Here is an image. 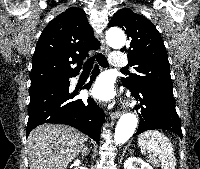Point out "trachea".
<instances>
[{
	"label": "trachea",
	"instance_id": "1",
	"mask_svg": "<svg viewBox=\"0 0 200 169\" xmlns=\"http://www.w3.org/2000/svg\"><path fill=\"white\" fill-rule=\"evenodd\" d=\"M95 59L97 60V62L99 63L100 66H102V67H108L109 66L106 57L101 53H96L93 57L89 58L84 63L83 70L84 71H90L93 67V63H94ZM121 70H126V69L122 68Z\"/></svg>",
	"mask_w": 200,
	"mask_h": 169
}]
</instances>
